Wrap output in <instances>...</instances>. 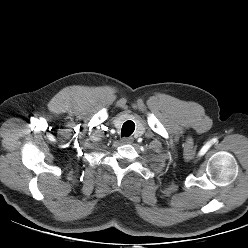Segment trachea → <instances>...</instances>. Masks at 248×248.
<instances>
[{
  "mask_svg": "<svg viewBox=\"0 0 248 248\" xmlns=\"http://www.w3.org/2000/svg\"><path fill=\"white\" fill-rule=\"evenodd\" d=\"M135 130V124L132 121H126L121 130V136L122 137H128L130 136Z\"/></svg>",
  "mask_w": 248,
  "mask_h": 248,
  "instance_id": "3493384b",
  "label": "trachea"
}]
</instances>
